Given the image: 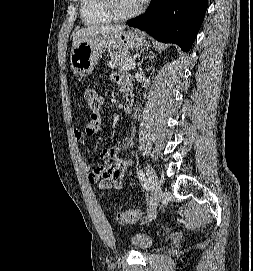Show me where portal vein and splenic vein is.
I'll list each match as a JSON object with an SVG mask.
<instances>
[{
	"instance_id": "portal-vein-and-splenic-vein-1",
	"label": "portal vein and splenic vein",
	"mask_w": 253,
	"mask_h": 271,
	"mask_svg": "<svg viewBox=\"0 0 253 271\" xmlns=\"http://www.w3.org/2000/svg\"><path fill=\"white\" fill-rule=\"evenodd\" d=\"M135 66H136L135 62H130L127 65L124 66V69L125 70H131V69H134Z\"/></svg>"
}]
</instances>
